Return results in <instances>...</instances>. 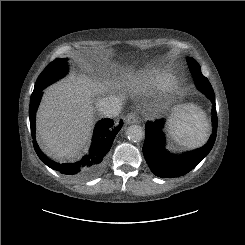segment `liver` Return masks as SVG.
<instances>
[{
	"label": "liver",
	"instance_id": "liver-1",
	"mask_svg": "<svg viewBox=\"0 0 245 245\" xmlns=\"http://www.w3.org/2000/svg\"><path fill=\"white\" fill-rule=\"evenodd\" d=\"M123 84L81 74L47 88L36 118L37 138L43 151L56 159L76 157L91 134L93 103L98 99L95 97L111 93ZM127 86L133 93L162 88L159 84L152 87L135 77L129 78ZM119 98L122 100V96Z\"/></svg>",
	"mask_w": 245,
	"mask_h": 245
}]
</instances>
